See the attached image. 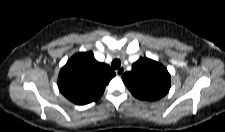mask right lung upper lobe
I'll list each match as a JSON object with an SVG mask.
<instances>
[{"label":"right lung upper lobe","instance_id":"obj_1","mask_svg":"<svg viewBox=\"0 0 225 132\" xmlns=\"http://www.w3.org/2000/svg\"><path fill=\"white\" fill-rule=\"evenodd\" d=\"M115 72L95 60L91 51L72 56L58 77L60 92L71 102L84 105L97 101Z\"/></svg>","mask_w":225,"mask_h":132}]
</instances>
